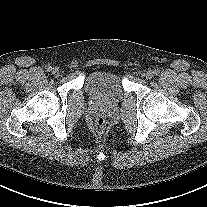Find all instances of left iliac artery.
<instances>
[{"instance_id": "1", "label": "left iliac artery", "mask_w": 207, "mask_h": 207, "mask_svg": "<svg viewBox=\"0 0 207 207\" xmlns=\"http://www.w3.org/2000/svg\"><path fill=\"white\" fill-rule=\"evenodd\" d=\"M155 75H158L160 73V70L159 69H155L154 72H153Z\"/></svg>"}]
</instances>
